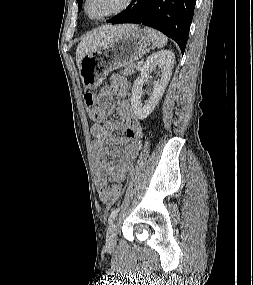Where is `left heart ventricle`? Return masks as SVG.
<instances>
[{
	"label": "left heart ventricle",
	"mask_w": 253,
	"mask_h": 285,
	"mask_svg": "<svg viewBox=\"0 0 253 285\" xmlns=\"http://www.w3.org/2000/svg\"><path fill=\"white\" fill-rule=\"evenodd\" d=\"M125 0H89L88 13L92 17L102 16L120 8Z\"/></svg>",
	"instance_id": "obj_1"
}]
</instances>
